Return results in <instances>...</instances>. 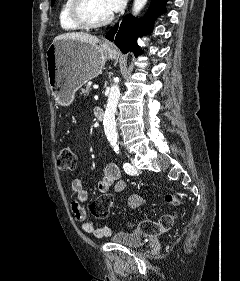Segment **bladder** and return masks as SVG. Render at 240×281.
Wrapping results in <instances>:
<instances>
[{
	"label": "bladder",
	"instance_id": "obj_1",
	"mask_svg": "<svg viewBox=\"0 0 240 281\" xmlns=\"http://www.w3.org/2000/svg\"><path fill=\"white\" fill-rule=\"evenodd\" d=\"M111 240L113 243L129 248H138L143 245L145 235L134 231H120L115 233Z\"/></svg>",
	"mask_w": 240,
	"mask_h": 281
}]
</instances>
